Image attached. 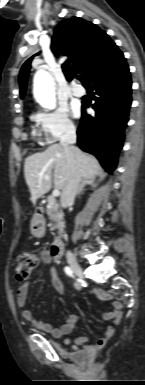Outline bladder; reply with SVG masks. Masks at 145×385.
<instances>
[{"label": "bladder", "instance_id": "bladder-1", "mask_svg": "<svg viewBox=\"0 0 145 385\" xmlns=\"http://www.w3.org/2000/svg\"><path fill=\"white\" fill-rule=\"evenodd\" d=\"M78 353V355L80 356V357H82L83 359H86V355H85V353L83 352V351H79V352H77Z\"/></svg>", "mask_w": 145, "mask_h": 385}]
</instances>
